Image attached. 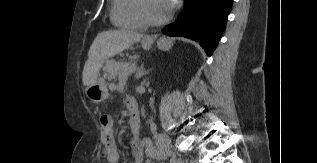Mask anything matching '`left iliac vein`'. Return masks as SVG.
<instances>
[{
  "instance_id": "left-iliac-vein-1",
  "label": "left iliac vein",
  "mask_w": 317,
  "mask_h": 163,
  "mask_svg": "<svg viewBox=\"0 0 317 163\" xmlns=\"http://www.w3.org/2000/svg\"><path fill=\"white\" fill-rule=\"evenodd\" d=\"M169 156H172V152L169 153ZM171 162L172 163H183L182 161H177L174 157L171 158ZM190 163H194V162L191 161Z\"/></svg>"
}]
</instances>
